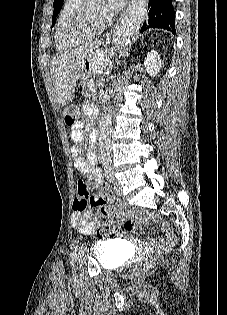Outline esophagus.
Here are the masks:
<instances>
[{
  "instance_id": "34e87169",
  "label": "esophagus",
  "mask_w": 227,
  "mask_h": 315,
  "mask_svg": "<svg viewBox=\"0 0 227 315\" xmlns=\"http://www.w3.org/2000/svg\"><path fill=\"white\" fill-rule=\"evenodd\" d=\"M129 9H131V5L129 4V6H128V8L126 9V11L124 12V14H123V16H122V19L124 18V16H125V14H126V12L127 11H129ZM117 28H118V23L116 24V26L114 27V29L112 30V33H111V35L110 36H108V40H109V37L111 38H115V34H116V31H117Z\"/></svg>"
}]
</instances>
